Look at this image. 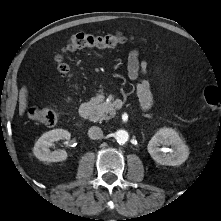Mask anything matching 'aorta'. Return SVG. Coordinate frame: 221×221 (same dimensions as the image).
I'll use <instances>...</instances> for the list:
<instances>
[{"label":"aorta","instance_id":"obj_1","mask_svg":"<svg viewBox=\"0 0 221 221\" xmlns=\"http://www.w3.org/2000/svg\"><path fill=\"white\" fill-rule=\"evenodd\" d=\"M115 138L117 140L118 143L124 144L128 141L129 139V134L127 131L125 130H118L115 133Z\"/></svg>","mask_w":221,"mask_h":221}]
</instances>
